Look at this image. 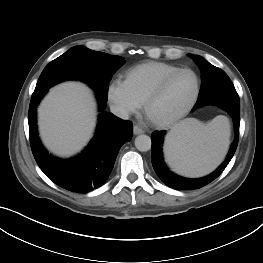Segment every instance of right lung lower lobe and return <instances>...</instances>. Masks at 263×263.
I'll list each match as a JSON object with an SVG mask.
<instances>
[{
	"label": "right lung lower lobe",
	"mask_w": 263,
	"mask_h": 263,
	"mask_svg": "<svg viewBox=\"0 0 263 263\" xmlns=\"http://www.w3.org/2000/svg\"><path fill=\"white\" fill-rule=\"evenodd\" d=\"M46 92L32 95L28 112L31 148L37 164L50 180L69 191L87 193L100 187L109 177L120 147L131 140L132 123L101 112L88 147L74 158L58 159L44 149L37 132L36 107ZM98 101L102 111L106 104L100 98Z\"/></svg>",
	"instance_id": "98d812e1"
}]
</instances>
